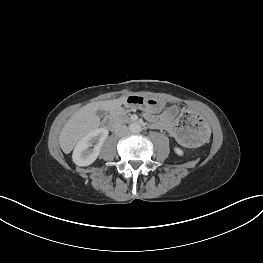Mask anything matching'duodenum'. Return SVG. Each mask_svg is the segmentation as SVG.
Masks as SVG:
<instances>
[{
    "mask_svg": "<svg viewBox=\"0 0 263 263\" xmlns=\"http://www.w3.org/2000/svg\"><path fill=\"white\" fill-rule=\"evenodd\" d=\"M104 124L107 128L112 129L115 126V120L112 115H107L104 119Z\"/></svg>",
    "mask_w": 263,
    "mask_h": 263,
    "instance_id": "1",
    "label": "duodenum"
}]
</instances>
